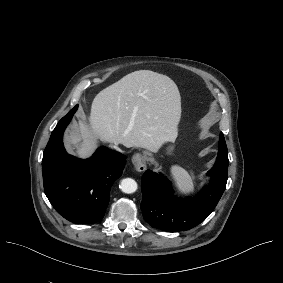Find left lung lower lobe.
I'll use <instances>...</instances> for the list:
<instances>
[{"mask_svg":"<svg viewBox=\"0 0 283 283\" xmlns=\"http://www.w3.org/2000/svg\"><path fill=\"white\" fill-rule=\"evenodd\" d=\"M228 150L223 133H220L218 156L215 165L207 172L211 185L204 187L194 199L173 195L170 181L162 174L146 170L142 176L141 210L150 226L168 232L189 230L214 210L220 200L228 177Z\"/></svg>","mask_w":283,"mask_h":283,"instance_id":"left-lung-lower-lobe-1","label":"left lung lower lobe"}]
</instances>
